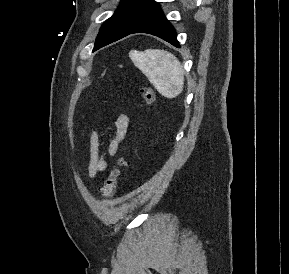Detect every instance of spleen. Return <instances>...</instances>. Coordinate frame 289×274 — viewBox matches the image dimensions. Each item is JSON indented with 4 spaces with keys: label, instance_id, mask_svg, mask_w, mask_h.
Instances as JSON below:
<instances>
[{
    "label": "spleen",
    "instance_id": "1",
    "mask_svg": "<svg viewBox=\"0 0 289 274\" xmlns=\"http://www.w3.org/2000/svg\"><path fill=\"white\" fill-rule=\"evenodd\" d=\"M129 56L164 97L175 98L183 91L184 70L179 60L170 52L147 49L143 52L131 51Z\"/></svg>",
    "mask_w": 289,
    "mask_h": 274
}]
</instances>
